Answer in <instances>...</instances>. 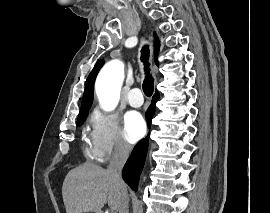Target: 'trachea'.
<instances>
[{"label": "trachea", "instance_id": "trachea-1", "mask_svg": "<svg viewBox=\"0 0 270 213\" xmlns=\"http://www.w3.org/2000/svg\"><path fill=\"white\" fill-rule=\"evenodd\" d=\"M148 58H149V49L148 46H144L141 50V61L144 63L146 77L143 82V91L146 96L150 97L153 94L154 90V79L149 74V64H148Z\"/></svg>", "mask_w": 270, "mask_h": 213}]
</instances>
